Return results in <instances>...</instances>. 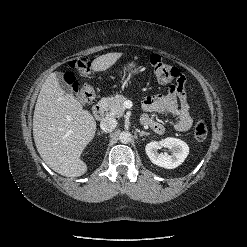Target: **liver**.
I'll return each instance as SVG.
<instances>
[{"label": "liver", "instance_id": "obj_1", "mask_svg": "<svg viewBox=\"0 0 247 247\" xmlns=\"http://www.w3.org/2000/svg\"><path fill=\"white\" fill-rule=\"evenodd\" d=\"M122 55L118 52L101 55L92 61L91 68L105 71ZM95 132L92 114L74 96L64 92L56 73H51L42 85L33 116L34 141L43 161L66 177L85 174L87 165L80 157Z\"/></svg>", "mask_w": 247, "mask_h": 247}]
</instances>
